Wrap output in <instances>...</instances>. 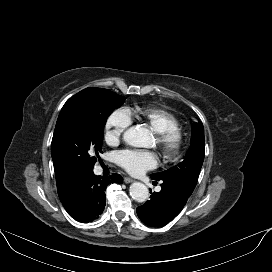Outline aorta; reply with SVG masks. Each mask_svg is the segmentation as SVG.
<instances>
[{"label":"aorta","mask_w":272,"mask_h":272,"mask_svg":"<svg viewBox=\"0 0 272 272\" xmlns=\"http://www.w3.org/2000/svg\"><path fill=\"white\" fill-rule=\"evenodd\" d=\"M123 140L133 147H144L148 141V134L142 128L133 127L124 133ZM129 191L131 197L137 202H144L149 196L147 186L140 182L131 184Z\"/></svg>","instance_id":"762f6f07"}]
</instances>
